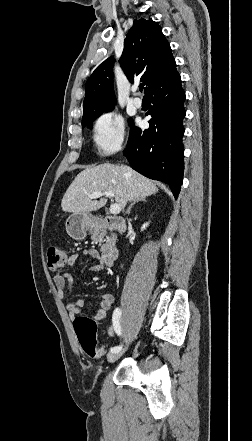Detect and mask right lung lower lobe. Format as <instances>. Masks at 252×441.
<instances>
[{"instance_id": "1", "label": "right lung lower lobe", "mask_w": 252, "mask_h": 441, "mask_svg": "<svg viewBox=\"0 0 252 441\" xmlns=\"http://www.w3.org/2000/svg\"><path fill=\"white\" fill-rule=\"evenodd\" d=\"M151 115L146 130L132 125L124 150L131 167L144 176L169 184L177 198L183 181L182 121L185 92L175 61L146 93Z\"/></svg>"}]
</instances>
